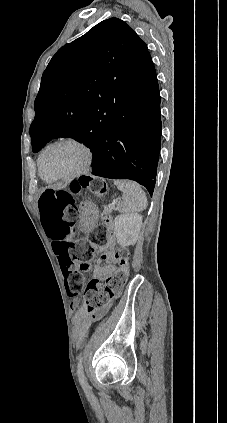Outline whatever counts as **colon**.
Wrapping results in <instances>:
<instances>
[{
	"instance_id": "colon-1",
	"label": "colon",
	"mask_w": 227,
	"mask_h": 423,
	"mask_svg": "<svg viewBox=\"0 0 227 423\" xmlns=\"http://www.w3.org/2000/svg\"><path fill=\"white\" fill-rule=\"evenodd\" d=\"M97 181L82 178L74 181L68 188H46L40 193L38 207L46 234L56 241L57 255L64 278L66 293L69 297L77 296L82 290L83 273L89 268L94 256V246L108 242L109 219L97 225L88 240L74 242L68 234L78 219L76 194L84 188L96 189ZM118 269L105 280L92 279L84 290L85 313H92L104 307L111 299L118 297L129 275V254L119 250L115 254Z\"/></svg>"
}]
</instances>
